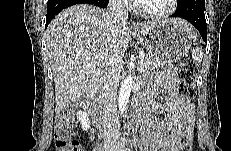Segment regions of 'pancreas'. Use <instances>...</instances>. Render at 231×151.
<instances>
[{
  "label": "pancreas",
  "mask_w": 231,
  "mask_h": 151,
  "mask_svg": "<svg viewBox=\"0 0 231 151\" xmlns=\"http://www.w3.org/2000/svg\"><path fill=\"white\" fill-rule=\"evenodd\" d=\"M166 65L167 62H164L149 54H145V57L140 61V70L143 73H149L151 71H156L159 68H163Z\"/></svg>",
  "instance_id": "1"
}]
</instances>
